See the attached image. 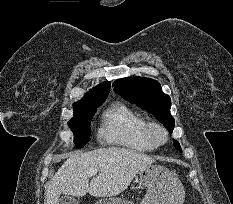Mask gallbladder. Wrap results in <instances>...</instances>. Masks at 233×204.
<instances>
[{
	"mask_svg": "<svg viewBox=\"0 0 233 204\" xmlns=\"http://www.w3.org/2000/svg\"><path fill=\"white\" fill-rule=\"evenodd\" d=\"M57 204H79V200L72 196H65L61 198Z\"/></svg>",
	"mask_w": 233,
	"mask_h": 204,
	"instance_id": "obj_1",
	"label": "gallbladder"
}]
</instances>
